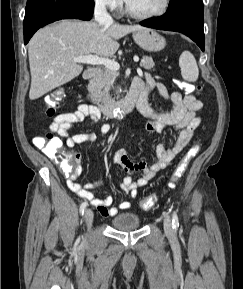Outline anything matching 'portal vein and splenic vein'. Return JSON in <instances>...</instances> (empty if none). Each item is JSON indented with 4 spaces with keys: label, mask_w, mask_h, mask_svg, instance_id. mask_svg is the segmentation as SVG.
Masks as SVG:
<instances>
[{
    "label": "portal vein and splenic vein",
    "mask_w": 243,
    "mask_h": 289,
    "mask_svg": "<svg viewBox=\"0 0 243 289\" xmlns=\"http://www.w3.org/2000/svg\"><path fill=\"white\" fill-rule=\"evenodd\" d=\"M74 62H79V63H86L90 65H104L106 68L117 71L120 68V65L118 62L115 60H111L108 58L104 57H99L97 55H86V56H77L73 58ZM134 61L138 62L139 58L134 57Z\"/></svg>",
    "instance_id": "1"
}]
</instances>
